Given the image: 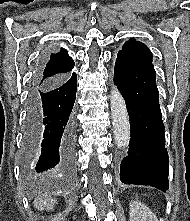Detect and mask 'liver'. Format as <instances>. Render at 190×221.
<instances>
[{"instance_id":"6515ba94","label":"liver","mask_w":190,"mask_h":221,"mask_svg":"<svg viewBox=\"0 0 190 221\" xmlns=\"http://www.w3.org/2000/svg\"><path fill=\"white\" fill-rule=\"evenodd\" d=\"M55 202L51 197L44 196L35 202V207L39 210H44L45 208L53 210Z\"/></svg>"}]
</instances>
